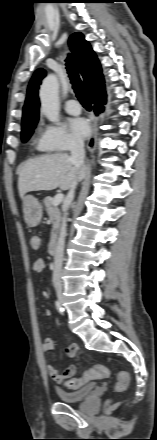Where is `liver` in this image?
I'll use <instances>...</instances> for the list:
<instances>
[{"label": "liver", "mask_w": 157, "mask_h": 440, "mask_svg": "<svg viewBox=\"0 0 157 440\" xmlns=\"http://www.w3.org/2000/svg\"><path fill=\"white\" fill-rule=\"evenodd\" d=\"M85 173V166L77 169L66 153L43 155L26 161L18 169V190L23 199L32 191H50L56 188L70 189L75 179Z\"/></svg>", "instance_id": "6515ba94"}]
</instances>
